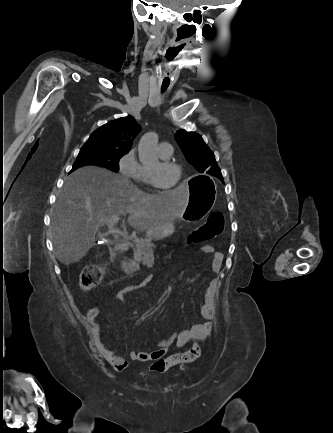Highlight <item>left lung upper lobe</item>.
I'll use <instances>...</instances> for the list:
<instances>
[{"instance_id":"5c2ea615","label":"left lung upper lobe","mask_w":333,"mask_h":433,"mask_svg":"<svg viewBox=\"0 0 333 433\" xmlns=\"http://www.w3.org/2000/svg\"><path fill=\"white\" fill-rule=\"evenodd\" d=\"M174 137L186 159L199 172L207 173L217 178L222 177L213 152L205 144L200 135L194 132L179 130Z\"/></svg>"}]
</instances>
